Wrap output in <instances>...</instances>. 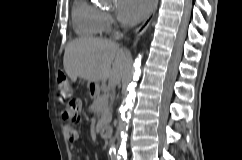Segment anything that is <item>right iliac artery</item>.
Here are the masks:
<instances>
[{
	"label": "right iliac artery",
	"instance_id": "82829eb1",
	"mask_svg": "<svg viewBox=\"0 0 242 160\" xmlns=\"http://www.w3.org/2000/svg\"><path fill=\"white\" fill-rule=\"evenodd\" d=\"M111 160H116V158H112Z\"/></svg>",
	"mask_w": 242,
	"mask_h": 160
}]
</instances>
